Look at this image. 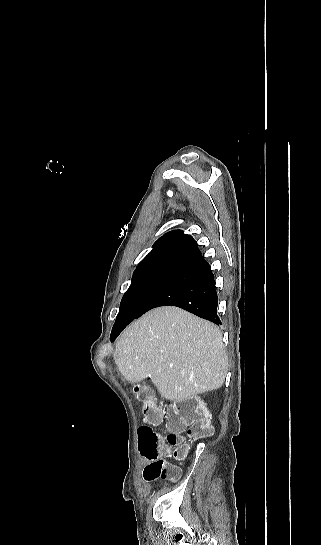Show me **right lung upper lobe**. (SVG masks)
Here are the masks:
<instances>
[{
	"mask_svg": "<svg viewBox=\"0 0 321 545\" xmlns=\"http://www.w3.org/2000/svg\"><path fill=\"white\" fill-rule=\"evenodd\" d=\"M200 254L196 241L181 230H174L159 238L151 252L137 269L169 267L177 269Z\"/></svg>",
	"mask_w": 321,
	"mask_h": 545,
	"instance_id": "obj_1",
	"label": "right lung upper lobe"
}]
</instances>
